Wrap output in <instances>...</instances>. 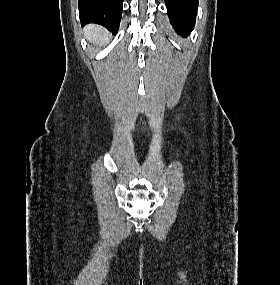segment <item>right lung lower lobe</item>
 I'll use <instances>...</instances> for the list:
<instances>
[{
  "label": "right lung lower lobe",
  "instance_id": "obj_1",
  "mask_svg": "<svg viewBox=\"0 0 280 285\" xmlns=\"http://www.w3.org/2000/svg\"><path fill=\"white\" fill-rule=\"evenodd\" d=\"M123 0H78L81 25L96 23L116 34L122 15Z\"/></svg>",
  "mask_w": 280,
  "mask_h": 285
}]
</instances>
